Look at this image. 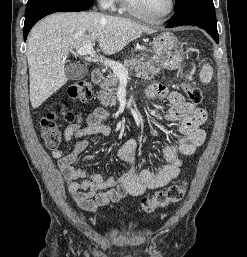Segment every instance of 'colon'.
Masks as SVG:
<instances>
[{
  "label": "colon",
  "instance_id": "5ec220e1",
  "mask_svg": "<svg viewBox=\"0 0 247 257\" xmlns=\"http://www.w3.org/2000/svg\"><path fill=\"white\" fill-rule=\"evenodd\" d=\"M182 89L192 103L199 104L202 102L203 94L198 87L190 83H183ZM67 96L71 100L86 102L92 96V86L89 82L84 80L76 81L68 87ZM59 115H61L66 122L70 123L79 119L78 115L64 107L46 113L41 119V128L42 138L49 149H56L61 143V130L57 122ZM185 193V183L172 185L165 190H159L152 197L142 199V211L152 213L159 208L175 204L184 197Z\"/></svg>",
  "mask_w": 247,
  "mask_h": 257
}]
</instances>
